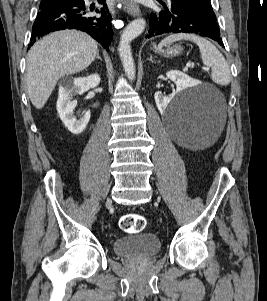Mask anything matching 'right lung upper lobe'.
Returning a JSON list of instances; mask_svg holds the SVG:
<instances>
[{"instance_id": "obj_1", "label": "right lung upper lobe", "mask_w": 267, "mask_h": 301, "mask_svg": "<svg viewBox=\"0 0 267 301\" xmlns=\"http://www.w3.org/2000/svg\"><path fill=\"white\" fill-rule=\"evenodd\" d=\"M51 1H53L54 3H56V2L60 3V2H62L64 0H51Z\"/></svg>"}]
</instances>
